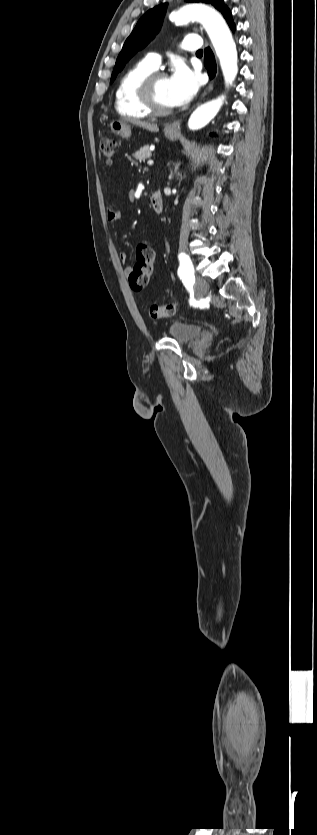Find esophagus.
Instances as JSON below:
<instances>
[{"label":"esophagus","mask_w":317,"mask_h":835,"mask_svg":"<svg viewBox=\"0 0 317 835\" xmlns=\"http://www.w3.org/2000/svg\"><path fill=\"white\" fill-rule=\"evenodd\" d=\"M213 84H214V79L210 80V82L208 83V85H207L205 91L203 92L200 100H202L206 96V94L213 88ZM181 121H182V119L175 120L174 122H172V123H170L169 125L166 126V130L169 131V132H179Z\"/></svg>","instance_id":"esophagus-1"}]
</instances>
